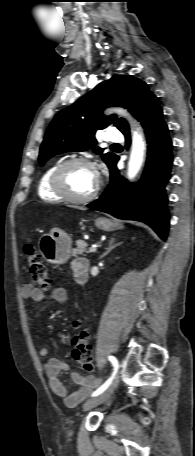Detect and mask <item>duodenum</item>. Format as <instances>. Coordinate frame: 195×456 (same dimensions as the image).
I'll use <instances>...</instances> for the list:
<instances>
[{"instance_id":"obj_1","label":"duodenum","mask_w":195,"mask_h":456,"mask_svg":"<svg viewBox=\"0 0 195 456\" xmlns=\"http://www.w3.org/2000/svg\"><path fill=\"white\" fill-rule=\"evenodd\" d=\"M88 270H89V263L87 260L83 262L75 273V279L79 284H85L88 280Z\"/></svg>"}]
</instances>
